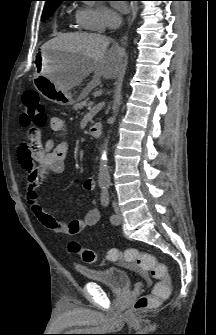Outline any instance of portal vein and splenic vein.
<instances>
[{
    "instance_id": "obj_1",
    "label": "portal vein and splenic vein",
    "mask_w": 216,
    "mask_h": 335,
    "mask_svg": "<svg viewBox=\"0 0 216 335\" xmlns=\"http://www.w3.org/2000/svg\"><path fill=\"white\" fill-rule=\"evenodd\" d=\"M94 105V102L93 101H90L89 103H88V106L89 107H92Z\"/></svg>"
}]
</instances>
